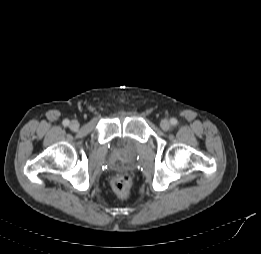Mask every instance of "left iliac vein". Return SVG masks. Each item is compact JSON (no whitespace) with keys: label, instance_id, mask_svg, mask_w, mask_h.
I'll use <instances>...</instances> for the list:
<instances>
[{"label":"left iliac vein","instance_id":"4c4485c4","mask_svg":"<svg viewBox=\"0 0 261 254\" xmlns=\"http://www.w3.org/2000/svg\"><path fill=\"white\" fill-rule=\"evenodd\" d=\"M160 127L164 130V131H167L170 129L171 125H170V122L167 120V119H163L161 122H160Z\"/></svg>","mask_w":261,"mask_h":254}]
</instances>
